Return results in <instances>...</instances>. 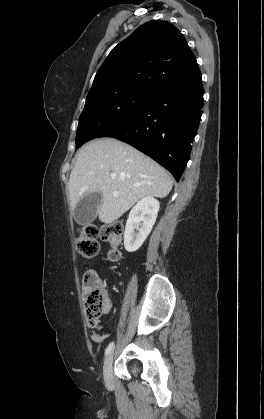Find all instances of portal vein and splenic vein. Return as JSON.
<instances>
[{
	"instance_id": "obj_1",
	"label": "portal vein and splenic vein",
	"mask_w": 264,
	"mask_h": 419,
	"mask_svg": "<svg viewBox=\"0 0 264 419\" xmlns=\"http://www.w3.org/2000/svg\"><path fill=\"white\" fill-rule=\"evenodd\" d=\"M116 176L114 174L111 175V178L114 179Z\"/></svg>"
}]
</instances>
